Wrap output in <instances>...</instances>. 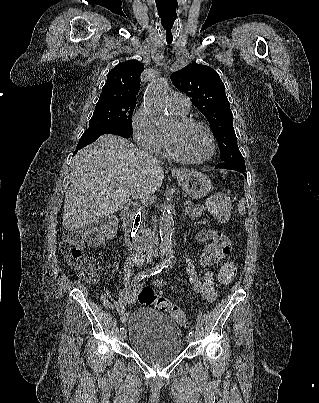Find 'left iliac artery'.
I'll use <instances>...</instances> for the list:
<instances>
[{"label":"left iliac artery","instance_id":"left-iliac-artery-1","mask_svg":"<svg viewBox=\"0 0 319 403\" xmlns=\"http://www.w3.org/2000/svg\"><path fill=\"white\" fill-rule=\"evenodd\" d=\"M168 267H169V263L166 264V268H168ZM190 335H191V336H194V333L191 331V332H189V336H190Z\"/></svg>","mask_w":319,"mask_h":403}]
</instances>
